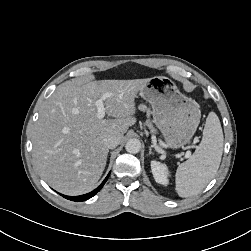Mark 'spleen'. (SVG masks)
I'll use <instances>...</instances> for the list:
<instances>
[{"label":"spleen","mask_w":251,"mask_h":251,"mask_svg":"<svg viewBox=\"0 0 251 251\" xmlns=\"http://www.w3.org/2000/svg\"><path fill=\"white\" fill-rule=\"evenodd\" d=\"M223 132L216 113L206 119L202 141L193 155L176 171V191L186 198L199 194L215 176L223 153Z\"/></svg>","instance_id":"1"}]
</instances>
